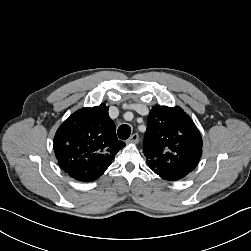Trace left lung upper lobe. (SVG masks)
Returning a JSON list of instances; mask_svg holds the SVG:
<instances>
[{
	"instance_id": "left-lung-upper-lobe-1",
	"label": "left lung upper lobe",
	"mask_w": 251,
	"mask_h": 251,
	"mask_svg": "<svg viewBox=\"0 0 251 251\" xmlns=\"http://www.w3.org/2000/svg\"><path fill=\"white\" fill-rule=\"evenodd\" d=\"M144 154L173 169L195 167L202 154V138L192 119L179 107L155 106L150 111Z\"/></svg>"
}]
</instances>
